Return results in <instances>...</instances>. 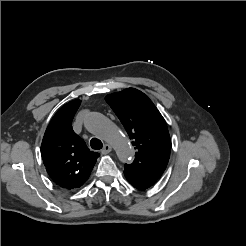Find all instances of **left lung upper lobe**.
<instances>
[{
	"mask_svg": "<svg viewBox=\"0 0 246 246\" xmlns=\"http://www.w3.org/2000/svg\"><path fill=\"white\" fill-rule=\"evenodd\" d=\"M105 100L122 122L136 150L133 163L125 164L124 168L156 182L168 164L171 150L164 118L153 102L134 88L109 94Z\"/></svg>",
	"mask_w": 246,
	"mask_h": 246,
	"instance_id": "obj_1",
	"label": "left lung upper lobe"
}]
</instances>
